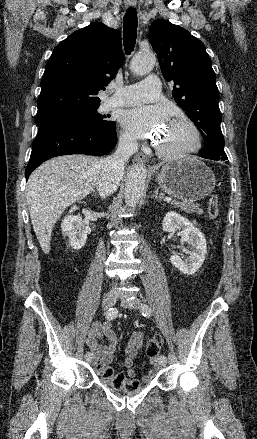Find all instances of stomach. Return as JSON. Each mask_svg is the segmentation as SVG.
Masks as SVG:
<instances>
[{"label":"stomach","instance_id":"stomach-1","mask_svg":"<svg viewBox=\"0 0 257 439\" xmlns=\"http://www.w3.org/2000/svg\"><path fill=\"white\" fill-rule=\"evenodd\" d=\"M156 179L166 193L191 203L211 194L216 184L214 173L195 157L166 163Z\"/></svg>","mask_w":257,"mask_h":439}]
</instances>
